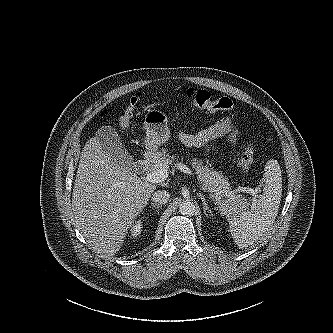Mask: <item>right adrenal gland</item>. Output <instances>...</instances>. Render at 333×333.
<instances>
[{"instance_id":"2a0ac1e0","label":"right adrenal gland","mask_w":333,"mask_h":333,"mask_svg":"<svg viewBox=\"0 0 333 333\" xmlns=\"http://www.w3.org/2000/svg\"><path fill=\"white\" fill-rule=\"evenodd\" d=\"M151 206H152V207H155V208H157V209H160V208H161V206H160L159 204H157V203H151Z\"/></svg>"}]
</instances>
